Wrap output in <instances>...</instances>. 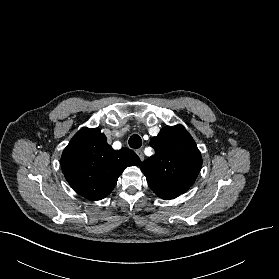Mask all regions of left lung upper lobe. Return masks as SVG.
Returning <instances> with one entry per match:
<instances>
[{"mask_svg":"<svg viewBox=\"0 0 279 279\" xmlns=\"http://www.w3.org/2000/svg\"><path fill=\"white\" fill-rule=\"evenodd\" d=\"M150 145L155 154L141 165L150 188L165 200L185 193L202 166L201 153L191 135L182 125L165 126Z\"/></svg>","mask_w":279,"mask_h":279,"instance_id":"1","label":"left lung upper lobe"}]
</instances>
